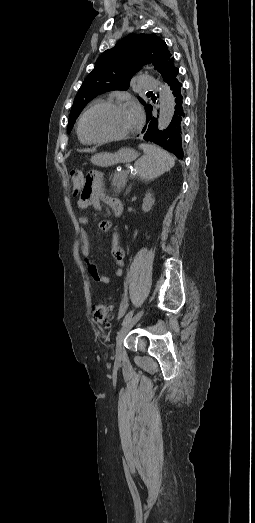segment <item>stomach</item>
<instances>
[{
	"mask_svg": "<svg viewBox=\"0 0 255 523\" xmlns=\"http://www.w3.org/2000/svg\"><path fill=\"white\" fill-rule=\"evenodd\" d=\"M134 158V150H131V148H122L117 154L115 151H96L91 159V164L95 167H102L105 162L125 164V162H132Z\"/></svg>",
	"mask_w": 255,
	"mask_h": 523,
	"instance_id": "1",
	"label": "stomach"
}]
</instances>
